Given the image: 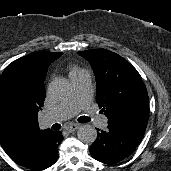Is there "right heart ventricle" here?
Wrapping results in <instances>:
<instances>
[{"instance_id": "e07e8e85", "label": "right heart ventricle", "mask_w": 171, "mask_h": 171, "mask_svg": "<svg viewBox=\"0 0 171 171\" xmlns=\"http://www.w3.org/2000/svg\"><path fill=\"white\" fill-rule=\"evenodd\" d=\"M82 72H84V70L81 69L80 67H78V66H71L70 70H69V76L71 78V77H73L75 75H78V74H80Z\"/></svg>"}]
</instances>
